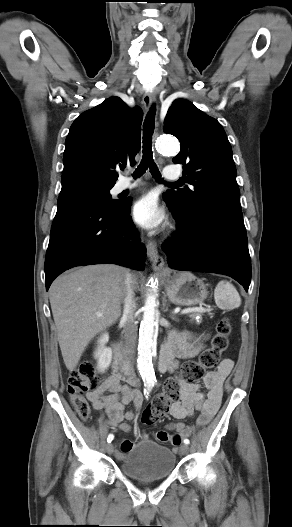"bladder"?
<instances>
[{
  "instance_id": "obj_1",
  "label": "bladder",
  "mask_w": 292,
  "mask_h": 527,
  "mask_svg": "<svg viewBox=\"0 0 292 527\" xmlns=\"http://www.w3.org/2000/svg\"><path fill=\"white\" fill-rule=\"evenodd\" d=\"M175 465L176 457L170 448L143 441L123 453L119 469L127 477L149 481L167 478Z\"/></svg>"
}]
</instances>
